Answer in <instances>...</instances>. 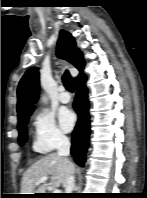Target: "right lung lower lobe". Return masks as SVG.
Returning <instances> with one entry per match:
<instances>
[{
    "mask_svg": "<svg viewBox=\"0 0 147 198\" xmlns=\"http://www.w3.org/2000/svg\"><path fill=\"white\" fill-rule=\"evenodd\" d=\"M74 83L77 94L73 107L79 119L72 134L71 154L78 165L84 166L90 133L89 102L85 86L86 76L84 74L80 75L75 79Z\"/></svg>",
    "mask_w": 147,
    "mask_h": 198,
    "instance_id": "1",
    "label": "right lung lower lobe"
}]
</instances>
